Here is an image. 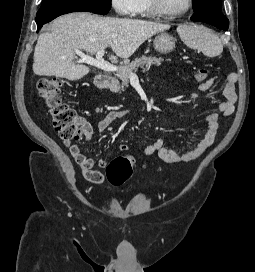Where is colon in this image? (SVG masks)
Masks as SVG:
<instances>
[{"instance_id": "5ec220e1", "label": "colon", "mask_w": 255, "mask_h": 272, "mask_svg": "<svg viewBox=\"0 0 255 272\" xmlns=\"http://www.w3.org/2000/svg\"><path fill=\"white\" fill-rule=\"evenodd\" d=\"M207 76L208 71L205 68L198 69L195 73V79L198 82H204ZM63 86L64 81L61 78L45 77L38 82L37 89L42 103L52 118L54 130L65 142H70L81 135L82 129L76 112L62 101ZM134 164L135 160L132 157L114 158L106 169L109 182L115 186L125 183L132 174Z\"/></svg>"}]
</instances>
